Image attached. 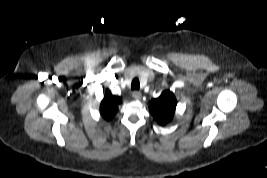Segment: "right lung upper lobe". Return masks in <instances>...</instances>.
I'll list each match as a JSON object with an SVG mask.
<instances>
[{
  "label": "right lung upper lobe",
  "instance_id": "right-lung-upper-lobe-1",
  "mask_svg": "<svg viewBox=\"0 0 267 178\" xmlns=\"http://www.w3.org/2000/svg\"><path fill=\"white\" fill-rule=\"evenodd\" d=\"M121 103V98L113 96L109 90L102 100L100 112L106 120H111L117 112L118 105Z\"/></svg>",
  "mask_w": 267,
  "mask_h": 178
}]
</instances>
